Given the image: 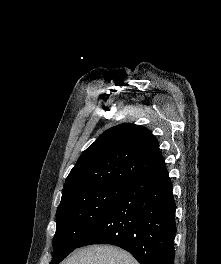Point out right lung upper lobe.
<instances>
[{
	"label": "right lung upper lobe",
	"mask_w": 221,
	"mask_h": 264,
	"mask_svg": "<svg viewBox=\"0 0 221 264\" xmlns=\"http://www.w3.org/2000/svg\"><path fill=\"white\" fill-rule=\"evenodd\" d=\"M164 166L159 143L147 128L120 124L82 153L66 179L61 200L100 184H127Z\"/></svg>",
	"instance_id": "right-lung-upper-lobe-1"
}]
</instances>
